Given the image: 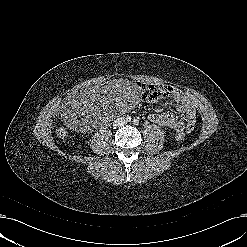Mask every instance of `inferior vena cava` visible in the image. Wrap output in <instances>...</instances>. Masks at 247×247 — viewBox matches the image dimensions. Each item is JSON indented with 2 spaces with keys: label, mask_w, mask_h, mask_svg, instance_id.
I'll list each match as a JSON object with an SVG mask.
<instances>
[{
  "label": "inferior vena cava",
  "mask_w": 247,
  "mask_h": 247,
  "mask_svg": "<svg viewBox=\"0 0 247 247\" xmlns=\"http://www.w3.org/2000/svg\"><path fill=\"white\" fill-rule=\"evenodd\" d=\"M126 123V121L124 119H118L117 121H115V126H123Z\"/></svg>",
  "instance_id": "1"
}]
</instances>
